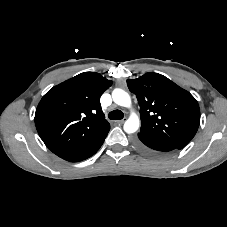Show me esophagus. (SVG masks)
<instances>
[{"mask_svg":"<svg viewBox=\"0 0 227 227\" xmlns=\"http://www.w3.org/2000/svg\"><path fill=\"white\" fill-rule=\"evenodd\" d=\"M126 121V118H123L121 120H117L116 123L117 124H123Z\"/></svg>","mask_w":227,"mask_h":227,"instance_id":"34e87169","label":"esophagus"}]
</instances>
